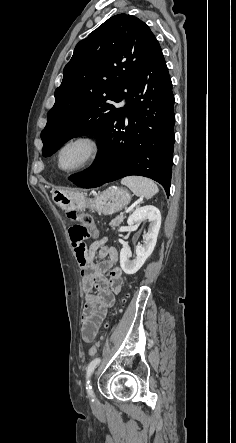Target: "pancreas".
Here are the masks:
<instances>
[{"instance_id": "1", "label": "pancreas", "mask_w": 236, "mask_h": 443, "mask_svg": "<svg viewBox=\"0 0 236 443\" xmlns=\"http://www.w3.org/2000/svg\"><path fill=\"white\" fill-rule=\"evenodd\" d=\"M126 217L124 215H119L116 218H114L111 222H110V226L115 229L116 227H118L125 219Z\"/></svg>"}]
</instances>
